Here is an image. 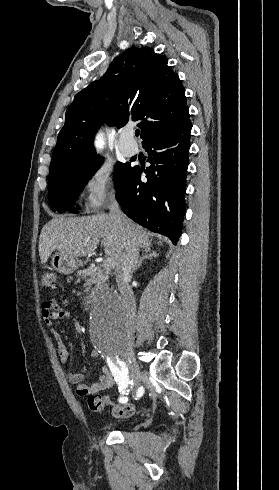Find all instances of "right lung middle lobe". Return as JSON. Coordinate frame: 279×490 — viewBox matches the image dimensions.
Returning <instances> with one entry per match:
<instances>
[{
	"mask_svg": "<svg viewBox=\"0 0 279 490\" xmlns=\"http://www.w3.org/2000/svg\"><path fill=\"white\" fill-rule=\"evenodd\" d=\"M102 162L103 158L98 156L94 160L50 177L48 181V192L51 209L59 213L65 212L67 209L76 212L70 205L74 204L80 191L83 190L87 181L97 171ZM131 168L128 163L123 164L117 162L116 173L114 174L116 190L120 187Z\"/></svg>",
	"mask_w": 279,
	"mask_h": 490,
	"instance_id": "right-lung-middle-lobe-1",
	"label": "right lung middle lobe"
}]
</instances>
